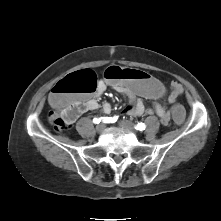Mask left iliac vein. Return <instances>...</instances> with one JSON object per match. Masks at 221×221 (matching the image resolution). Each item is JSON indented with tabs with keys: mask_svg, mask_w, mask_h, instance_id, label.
<instances>
[{
	"mask_svg": "<svg viewBox=\"0 0 221 221\" xmlns=\"http://www.w3.org/2000/svg\"><path fill=\"white\" fill-rule=\"evenodd\" d=\"M119 126L122 128V129H125L127 131H131V132H137L135 127L127 120H122L119 122Z\"/></svg>",
	"mask_w": 221,
	"mask_h": 221,
	"instance_id": "1",
	"label": "left iliac vein"
}]
</instances>
